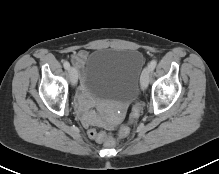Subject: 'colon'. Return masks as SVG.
Wrapping results in <instances>:
<instances>
[{"label": "colon", "instance_id": "colon-1", "mask_svg": "<svg viewBox=\"0 0 219 174\" xmlns=\"http://www.w3.org/2000/svg\"><path fill=\"white\" fill-rule=\"evenodd\" d=\"M140 114H141V105L139 103H135L131 109L130 121L133 122L136 119H138ZM87 133L91 139L104 143L106 146L110 148L113 147L115 144L114 137L106 134L105 132H99V131H96L95 129H89ZM129 134H130L129 125L121 126L118 132V136L120 138H126L127 136H129Z\"/></svg>", "mask_w": 219, "mask_h": 174}]
</instances>
